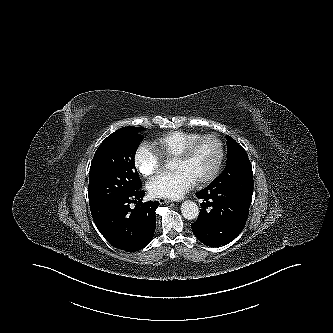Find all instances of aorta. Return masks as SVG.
I'll use <instances>...</instances> for the list:
<instances>
[{
  "label": "aorta",
  "mask_w": 333,
  "mask_h": 333,
  "mask_svg": "<svg viewBox=\"0 0 333 333\" xmlns=\"http://www.w3.org/2000/svg\"><path fill=\"white\" fill-rule=\"evenodd\" d=\"M181 213L185 219L194 220L199 215V207L195 202L186 200L181 205Z\"/></svg>",
  "instance_id": "762f6f07"
}]
</instances>
